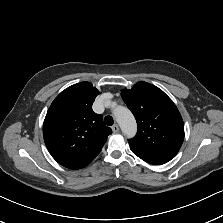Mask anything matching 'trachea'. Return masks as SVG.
Here are the masks:
<instances>
[{"label":"trachea","mask_w":223,"mask_h":223,"mask_svg":"<svg viewBox=\"0 0 223 223\" xmlns=\"http://www.w3.org/2000/svg\"><path fill=\"white\" fill-rule=\"evenodd\" d=\"M104 122L106 125L111 126V125H113L114 120H113L112 116H106L104 118Z\"/></svg>","instance_id":"1"}]
</instances>
